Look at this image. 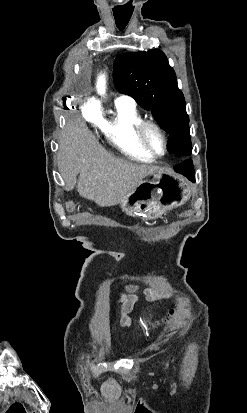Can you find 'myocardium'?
Wrapping results in <instances>:
<instances>
[{"mask_svg": "<svg viewBox=\"0 0 247 413\" xmlns=\"http://www.w3.org/2000/svg\"><path fill=\"white\" fill-rule=\"evenodd\" d=\"M147 128H152L159 132V134L162 136L163 142H164V149L163 152L158 154L155 152L153 149H151L145 142L144 140V131ZM135 139L139 147L149 156L159 159L165 156L168 150V137L165 133V131L156 123L151 122V121H141V123L138 125V127L135 130Z\"/></svg>", "mask_w": 247, "mask_h": 413, "instance_id": "f54148a6", "label": "myocardium"}]
</instances>
